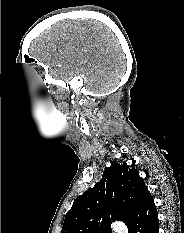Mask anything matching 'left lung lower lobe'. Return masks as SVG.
Segmentation results:
<instances>
[{"label":"left lung lower lobe","instance_id":"0a47b994","mask_svg":"<svg viewBox=\"0 0 184 233\" xmlns=\"http://www.w3.org/2000/svg\"><path fill=\"white\" fill-rule=\"evenodd\" d=\"M126 226L129 233H159L158 213L150 192L137 205Z\"/></svg>","mask_w":184,"mask_h":233}]
</instances>
